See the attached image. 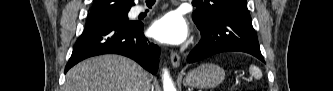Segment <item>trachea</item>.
<instances>
[{"instance_id": "obj_1", "label": "trachea", "mask_w": 333, "mask_h": 91, "mask_svg": "<svg viewBox=\"0 0 333 91\" xmlns=\"http://www.w3.org/2000/svg\"><path fill=\"white\" fill-rule=\"evenodd\" d=\"M146 2H147L148 4H149V3L153 4V3L155 2V0H147Z\"/></svg>"}]
</instances>
